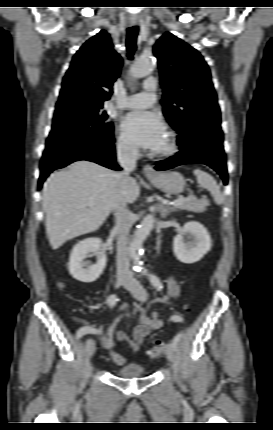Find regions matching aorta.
<instances>
[{"mask_svg": "<svg viewBox=\"0 0 273 430\" xmlns=\"http://www.w3.org/2000/svg\"><path fill=\"white\" fill-rule=\"evenodd\" d=\"M155 68L152 57L145 56L138 58L131 68V74L135 78H143L150 75ZM154 218L149 215L143 219L133 235V239L128 247V255L132 259L137 269H142L140 258L142 254V245L151 230L153 229Z\"/></svg>", "mask_w": 273, "mask_h": 430, "instance_id": "1", "label": "aorta"}]
</instances>
